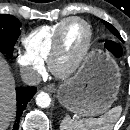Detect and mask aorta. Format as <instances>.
<instances>
[{"instance_id": "1", "label": "aorta", "mask_w": 130, "mask_h": 130, "mask_svg": "<svg viewBox=\"0 0 130 130\" xmlns=\"http://www.w3.org/2000/svg\"><path fill=\"white\" fill-rule=\"evenodd\" d=\"M36 104L41 108H47L51 104V98L47 93L41 92L36 96Z\"/></svg>"}]
</instances>
